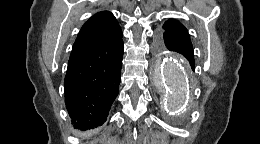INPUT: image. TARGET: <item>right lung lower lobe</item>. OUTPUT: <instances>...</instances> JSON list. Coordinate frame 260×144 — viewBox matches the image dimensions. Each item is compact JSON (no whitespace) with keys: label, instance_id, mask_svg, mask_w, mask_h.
<instances>
[{"label":"right lung lower lobe","instance_id":"1","mask_svg":"<svg viewBox=\"0 0 260 144\" xmlns=\"http://www.w3.org/2000/svg\"><path fill=\"white\" fill-rule=\"evenodd\" d=\"M122 35L72 49L64 81L65 103L80 130L102 125L118 95L123 59Z\"/></svg>","mask_w":260,"mask_h":144}]
</instances>
